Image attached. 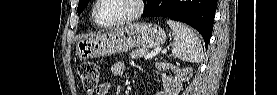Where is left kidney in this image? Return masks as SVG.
<instances>
[{"label":"left kidney","mask_w":277,"mask_h":95,"mask_svg":"<svg viewBox=\"0 0 277 95\" xmlns=\"http://www.w3.org/2000/svg\"><path fill=\"white\" fill-rule=\"evenodd\" d=\"M167 69H171L174 72V77L166 76L165 73H162V82L164 89L168 93H173L181 87L182 82L190 75V71L187 68L181 70L176 66H167L163 68V71Z\"/></svg>","instance_id":"1"}]
</instances>
